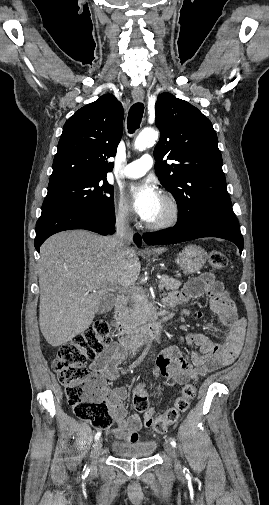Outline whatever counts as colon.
Listing matches in <instances>:
<instances>
[{"label":"colon","instance_id":"1","mask_svg":"<svg viewBox=\"0 0 269 505\" xmlns=\"http://www.w3.org/2000/svg\"><path fill=\"white\" fill-rule=\"evenodd\" d=\"M227 257L213 250L209 254V266L212 271L226 267ZM111 343L110 325L99 320L73 340L63 344L52 362V369L59 382L65 387V394L70 407L80 419L89 421L97 429H108L112 417L104 400L103 380L86 367L88 360L101 354ZM197 377L187 383L176 398L173 406L163 414L154 416L149 408L147 393L138 388L133 395L134 408L144 415L145 425L155 433L162 434L174 426L180 416L186 412L197 393ZM173 383L172 380H169Z\"/></svg>","mask_w":269,"mask_h":505}]
</instances>
